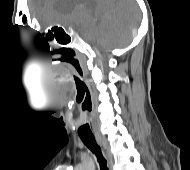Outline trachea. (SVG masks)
Returning a JSON list of instances; mask_svg holds the SVG:
<instances>
[{
    "mask_svg": "<svg viewBox=\"0 0 190 170\" xmlns=\"http://www.w3.org/2000/svg\"><path fill=\"white\" fill-rule=\"evenodd\" d=\"M83 143L90 149L97 157V161L101 170H108L107 161L103 157L100 147L97 145L94 136H80Z\"/></svg>",
    "mask_w": 190,
    "mask_h": 170,
    "instance_id": "obj_1",
    "label": "trachea"
}]
</instances>
